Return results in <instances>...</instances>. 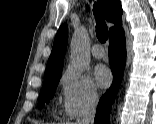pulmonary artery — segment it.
<instances>
[{
	"mask_svg": "<svg viewBox=\"0 0 156 124\" xmlns=\"http://www.w3.org/2000/svg\"><path fill=\"white\" fill-rule=\"evenodd\" d=\"M91 53L95 58H102L104 56V49L102 48L101 45H94L91 48Z\"/></svg>",
	"mask_w": 156,
	"mask_h": 124,
	"instance_id": "1",
	"label": "pulmonary artery"
}]
</instances>
